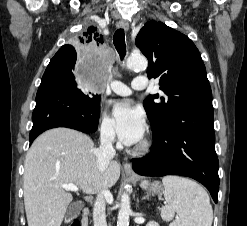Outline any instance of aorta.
<instances>
[{
	"label": "aorta",
	"mask_w": 247,
	"mask_h": 226,
	"mask_svg": "<svg viewBox=\"0 0 247 226\" xmlns=\"http://www.w3.org/2000/svg\"><path fill=\"white\" fill-rule=\"evenodd\" d=\"M126 66L129 70H146L148 61L144 56H131L127 59ZM130 213V197L128 193L125 192L121 197L117 226H129Z\"/></svg>",
	"instance_id": "762f6f07"
}]
</instances>
